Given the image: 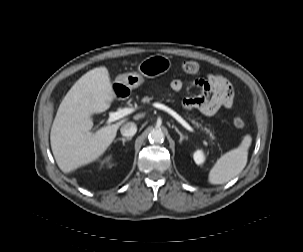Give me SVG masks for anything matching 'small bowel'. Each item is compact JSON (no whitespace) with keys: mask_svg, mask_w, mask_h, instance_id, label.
Returning <instances> with one entry per match:
<instances>
[{"mask_svg":"<svg viewBox=\"0 0 303 252\" xmlns=\"http://www.w3.org/2000/svg\"><path fill=\"white\" fill-rule=\"evenodd\" d=\"M171 89L179 92L184 88L181 79L171 82ZM192 86L199 91L197 96L185 97L182 101L186 110H198L205 116H215L222 108L230 109L233 105L234 88L224 77L209 73L204 79H197Z\"/></svg>","mask_w":303,"mask_h":252,"instance_id":"1","label":"small bowel"}]
</instances>
